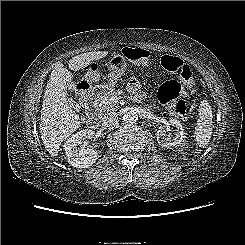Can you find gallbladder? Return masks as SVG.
Returning <instances> with one entry per match:
<instances>
[{
    "label": "gallbladder",
    "instance_id": "gallbladder-1",
    "mask_svg": "<svg viewBox=\"0 0 245 245\" xmlns=\"http://www.w3.org/2000/svg\"><path fill=\"white\" fill-rule=\"evenodd\" d=\"M67 100L72 108H74L75 110H79V104L73 100L72 96L69 93H67Z\"/></svg>",
    "mask_w": 245,
    "mask_h": 245
}]
</instances>
